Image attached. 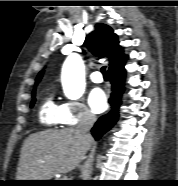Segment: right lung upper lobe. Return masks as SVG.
Here are the masks:
<instances>
[{
  "mask_svg": "<svg viewBox=\"0 0 178 186\" xmlns=\"http://www.w3.org/2000/svg\"><path fill=\"white\" fill-rule=\"evenodd\" d=\"M84 45L97 57L108 58V70L122 66L128 58L124 54L123 47L119 45L117 35L105 24H96L95 30L86 36ZM42 73L38 75L37 82L42 77Z\"/></svg>",
  "mask_w": 178,
  "mask_h": 186,
  "instance_id": "cb5924a9",
  "label": "right lung upper lobe"
}]
</instances>
